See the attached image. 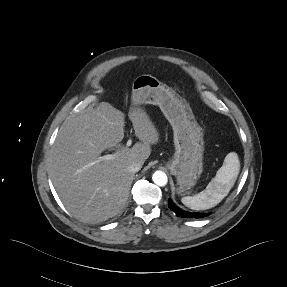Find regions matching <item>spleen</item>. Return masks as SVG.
Masks as SVG:
<instances>
[{"label": "spleen", "instance_id": "obj_1", "mask_svg": "<svg viewBox=\"0 0 287 287\" xmlns=\"http://www.w3.org/2000/svg\"><path fill=\"white\" fill-rule=\"evenodd\" d=\"M240 170V162L235 152L226 155L222 167L209 182L206 189L194 196H186L181 202L193 210H206L216 206L234 186Z\"/></svg>", "mask_w": 287, "mask_h": 287}]
</instances>
